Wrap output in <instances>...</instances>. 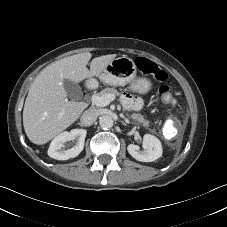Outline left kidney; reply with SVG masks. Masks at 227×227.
Listing matches in <instances>:
<instances>
[{"label": "left kidney", "instance_id": "1", "mask_svg": "<svg viewBox=\"0 0 227 227\" xmlns=\"http://www.w3.org/2000/svg\"><path fill=\"white\" fill-rule=\"evenodd\" d=\"M142 146L143 150H140L139 146L129 144L127 150L133 158L141 162H152L162 156L161 142L154 135L145 134Z\"/></svg>", "mask_w": 227, "mask_h": 227}]
</instances>
